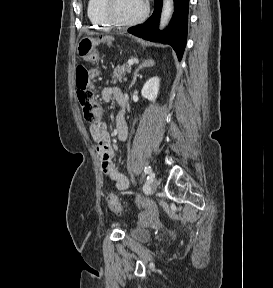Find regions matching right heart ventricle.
<instances>
[{
  "label": "right heart ventricle",
  "instance_id": "e07e8e85",
  "mask_svg": "<svg viewBox=\"0 0 273 288\" xmlns=\"http://www.w3.org/2000/svg\"><path fill=\"white\" fill-rule=\"evenodd\" d=\"M101 6L102 0H88L87 15L94 27L97 29L108 30L112 25L104 19Z\"/></svg>",
  "mask_w": 273,
  "mask_h": 288
}]
</instances>
